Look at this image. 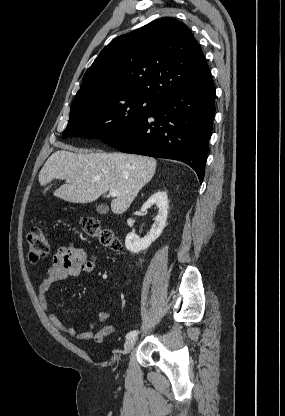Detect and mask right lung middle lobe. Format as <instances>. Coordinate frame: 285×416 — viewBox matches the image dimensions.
Returning a JSON list of instances; mask_svg holds the SVG:
<instances>
[{
    "mask_svg": "<svg viewBox=\"0 0 285 416\" xmlns=\"http://www.w3.org/2000/svg\"><path fill=\"white\" fill-rule=\"evenodd\" d=\"M157 103L142 97H124L101 102L82 110H70L62 138L105 139L131 127L144 118Z\"/></svg>",
    "mask_w": 285,
    "mask_h": 416,
    "instance_id": "1",
    "label": "right lung middle lobe"
}]
</instances>
